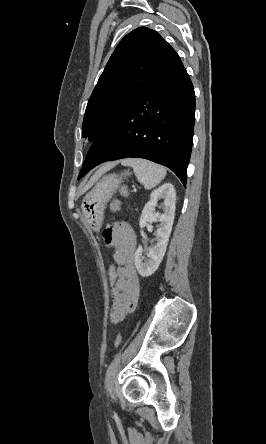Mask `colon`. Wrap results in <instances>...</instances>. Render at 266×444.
Listing matches in <instances>:
<instances>
[{"mask_svg": "<svg viewBox=\"0 0 266 444\" xmlns=\"http://www.w3.org/2000/svg\"><path fill=\"white\" fill-rule=\"evenodd\" d=\"M119 194L121 197L125 198L128 196V189L125 186H121L119 188ZM121 207V201L118 199H115L112 201L110 208L113 212H117L120 210ZM118 267L115 263L111 264L108 271H107V282L111 289V291L115 288L117 281H118ZM122 343V335L119 333L115 340H114V346L118 347Z\"/></svg>", "mask_w": 266, "mask_h": 444, "instance_id": "5ec220e1", "label": "colon"}]
</instances>
